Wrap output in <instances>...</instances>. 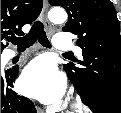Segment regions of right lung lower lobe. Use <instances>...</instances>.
<instances>
[{"label": "right lung lower lobe", "mask_w": 121, "mask_h": 113, "mask_svg": "<svg viewBox=\"0 0 121 113\" xmlns=\"http://www.w3.org/2000/svg\"><path fill=\"white\" fill-rule=\"evenodd\" d=\"M18 67L12 68L1 75V113H35L31 100L17 95L12 90L13 81L18 74Z\"/></svg>", "instance_id": "98d812e1"}]
</instances>
